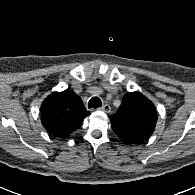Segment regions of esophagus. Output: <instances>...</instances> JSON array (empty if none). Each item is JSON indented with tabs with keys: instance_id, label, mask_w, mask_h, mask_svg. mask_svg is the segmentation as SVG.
<instances>
[{
	"instance_id": "obj_1",
	"label": "esophagus",
	"mask_w": 195,
	"mask_h": 195,
	"mask_svg": "<svg viewBox=\"0 0 195 195\" xmlns=\"http://www.w3.org/2000/svg\"><path fill=\"white\" fill-rule=\"evenodd\" d=\"M101 111H104L106 113H109L111 111V107L108 104H104L102 107L98 108Z\"/></svg>"
}]
</instances>
